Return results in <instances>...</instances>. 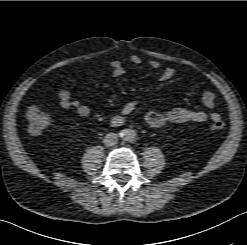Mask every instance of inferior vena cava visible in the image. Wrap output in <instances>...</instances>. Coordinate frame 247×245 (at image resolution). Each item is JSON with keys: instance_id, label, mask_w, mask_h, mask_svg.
Masks as SVG:
<instances>
[{"instance_id": "602c4592", "label": "inferior vena cava", "mask_w": 247, "mask_h": 245, "mask_svg": "<svg viewBox=\"0 0 247 245\" xmlns=\"http://www.w3.org/2000/svg\"><path fill=\"white\" fill-rule=\"evenodd\" d=\"M118 142V136L116 133H108L105 135L104 137V141L103 143L107 146V147H111L116 145Z\"/></svg>"}]
</instances>
